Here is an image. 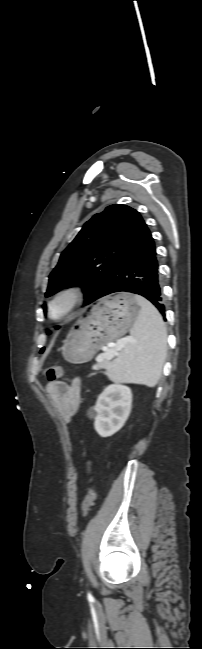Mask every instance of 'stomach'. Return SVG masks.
<instances>
[{"mask_svg":"<svg viewBox=\"0 0 202 649\" xmlns=\"http://www.w3.org/2000/svg\"><path fill=\"white\" fill-rule=\"evenodd\" d=\"M139 313L140 306L130 293L102 299L70 330L62 347L64 359L71 363L91 360L102 346L125 335Z\"/></svg>","mask_w":202,"mask_h":649,"instance_id":"stomach-1","label":"stomach"}]
</instances>
